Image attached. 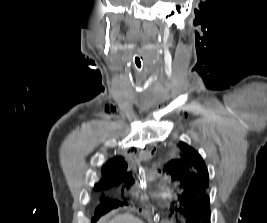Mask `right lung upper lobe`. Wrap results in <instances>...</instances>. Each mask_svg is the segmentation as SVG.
<instances>
[{"label":"right lung upper lobe","instance_id":"cb5924a9","mask_svg":"<svg viewBox=\"0 0 267 223\" xmlns=\"http://www.w3.org/2000/svg\"><path fill=\"white\" fill-rule=\"evenodd\" d=\"M126 169L127 164L124 162L123 159L115 158L113 160H110L106 165L103 166V180L118 177L126 179L128 181L129 179L127 178L130 176V174L126 173ZM101 183L97 186H100Z\"/></svg>","mask_w":267,"mask_h":223}]
</instances>
